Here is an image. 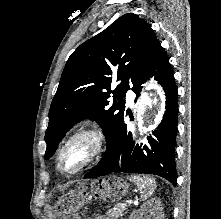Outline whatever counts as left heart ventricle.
Returning <instances> with one entry per match:
<instances>
[{"label":"left heart ventricle","mask_w":221,"mask_h":219,"mask_svg":"<svg viewBox=\"0 0 221 219\" xmlns=\"http://www.w3.org/2000/svg\"><path fill=\"white\" fill-rule=\"evenodd\" d=\"M91 150V144L87 139L74 141L65 150L61 157L60 166L64 172H72L77 169L87 158Z\"/></svg>","instance_id":"left-heart-ventricle-1"}]
</instances>
